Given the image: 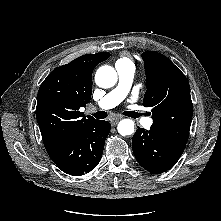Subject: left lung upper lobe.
Here are the masks:
<instances>
[{
    "label": "left lung upper lobe",
    "instance_id": "obj_1",
    "mask_svg": "<svg viewBox=\"0 0 221 221\" xmlns=\"http://www.w3.org/2000/svg\"><path fill=\"white\" fill-rule=\"evenodd\" d=\"M142 58L147 84L143 106L151 108L150 130L166 140L186 145L193 115L188 80L158 52L146 51Z\"/></svg>",
    "mask_w": 221,
    "mask_h": 221
}]
</instances>
